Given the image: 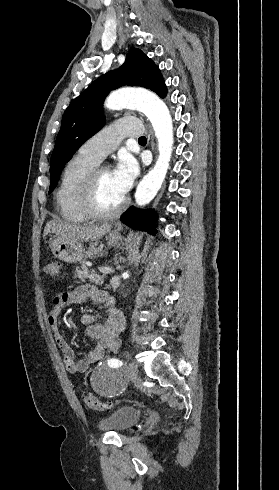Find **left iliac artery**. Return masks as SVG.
I'll return each mask as SVG.
<instances>
[{
    "mask_svg": "<svg viewBox=\"0 0 279 490\" xmlns=\"http://www.w3.org/2000/svg\"><path fill=\"white\" fill-rule=\"evenodd\" d=\"M108 364L111 367H121L123 365L122 361H120L118 359H110V360H108Z\"/></svg>",
    "mask_w": 279,
    "mask_h": 490,
    "instance_id": "obj_1",
    "label": "left iliac artery"
}]
</instances>
